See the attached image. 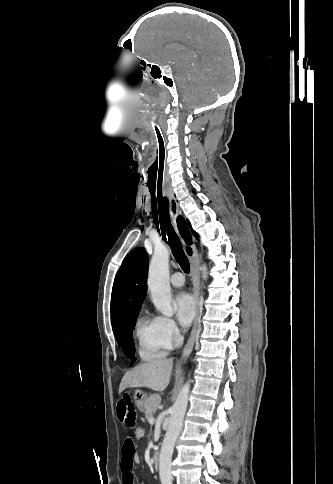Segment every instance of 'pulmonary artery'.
Here are the masks:
<instances>
[{"mask_svg":"<svg viewBox=\"0 0 333 484\" xmlns=\"http://www.w3.org/2000/svg\"><path fill=\"white\" fill-rule=\"evenodd\" d=\"M170 282L174 287H182L185 279L181 272H174L170 277Z\"/></svg>","mask_w":333,"mask_h":484,"instance_id":"1","label":"pulmonary artery"}]
</instances>
